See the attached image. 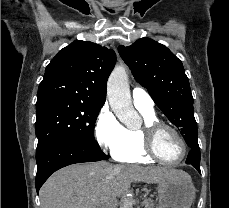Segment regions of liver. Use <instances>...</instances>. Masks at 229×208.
Instances as JSON below:
<instances>
[{
    "label": "liver",
    "mask_w": 229,
    "mask_h": 208,
    "mask_svg": "<svg viewBox=\"0 0 229 208\" xmlns=\"http://www.w3.org/2000/svg\"><path fill=\"white\" fill-rule=\"evenodd\" d=\"M164 178H189L183 170L158 166H112L108 162L72 164L50 176L39 196L41 208H116L131 182L158 184Z\"/></svg>",
    "instance_id": "obj_1"
}]
</instances>
